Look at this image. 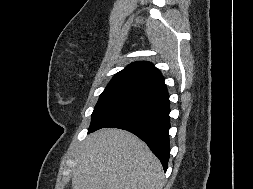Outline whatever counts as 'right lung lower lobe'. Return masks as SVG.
I'll return each instance as SVG.
<instances>
[{
	"mask_svg": "<svg viewBox=\"0 0 253 189\" xmlns=\"http://www.w3.org/2000/svg\"><path fill=\"white\" fill-rule=\"evenodd\" d=\"M169 104L166 87L149 92L102 119L97 125L89 128L88 133L104 127L128 130L145 141L166 171L170 155Z\"/></svg>",
	"mask_w": 253,
	"mask_h": 189,
	"instance_id": "right-lung-lower-lobe-1",
	"label": "right lung lower lobe"
}]
</instances>
